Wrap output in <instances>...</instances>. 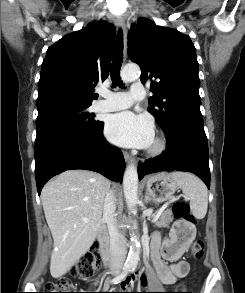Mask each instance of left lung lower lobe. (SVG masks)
Returning a JSON list of instances; mask_svg holds the SVG:
<instances>
[{
	"label": "left lung lower lobe",
	"mask_w": 245,
	"mask_h": 293,
	"mask_svg": "<svg viewBox=\"0 0 245 293\" xmlns=\"http://www.w3.org/2000/svg\"><path fill=\"white\" fill-rule=\"evenodd\" d=\"M167 149L160 156L138 164L139 180L146 174L178 170L194 173L210 188L208 143L204 126L177 121L164 129Z\"/></svg>",
	"instance_id": "1"
}]
</instances>
